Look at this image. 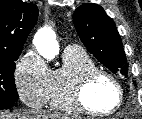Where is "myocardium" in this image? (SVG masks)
<instances>
[{"label":"myocardium","instance_id":"f54148a6","mask_svg":"<svg viewBox=\"0 0 142 119\" xmlns=\"http://www.w3.org/2000/svg\"><path fill=\"white\" fill-rule=\"evenodd\" d=\"M105 78L111 82L115 87L118 99L116 104L107 111H98L91 108L86 101V94L89 87L98 79ZM67 98L74 109L77 111L92 115V116H109L114 114L123 104L124 96L121 84L119 81L109 72L95 68L87 70L75 77L67 87Z\"/></svg>","mask_w":142,"mask_h":119}]
</instances>
